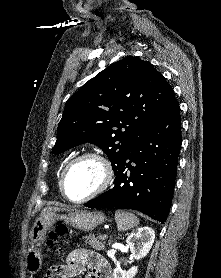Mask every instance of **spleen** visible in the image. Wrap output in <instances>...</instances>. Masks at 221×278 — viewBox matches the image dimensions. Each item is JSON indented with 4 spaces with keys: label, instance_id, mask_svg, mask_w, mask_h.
Here are the masks:
<instances>
[{
    "label": "spleen",
    "instance_id": "obj_1",
    "mask_svg": "<svg viewBox=\"0 0 221 278\" xmlns=\"http://www.w3.org/2000/svg\"><path fill=\"white\" fill-rule=\"evenodd\" d=\"M115 221L119 231H127L139 224V219L134 214L122 210L115 212Z\"/></svg>",
    "mask_w": 221,
    "mask_h": 278
}]
</instances>
